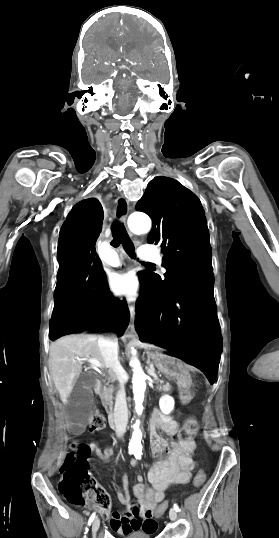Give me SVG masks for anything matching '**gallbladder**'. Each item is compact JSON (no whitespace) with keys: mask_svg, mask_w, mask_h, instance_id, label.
Here are the masks:
<instances>
[{"mask_svg":"<svg viewBox=\"0 0 279 538\" xmlns=\"http://www.w3.org/2000/svg\"><path fill=\"white\" fill-rule=\"evenodd\" d=\"M96 380L89 372H81L76 384L71 392L72 402L74 407L71 406L70 400L67 403L62 404L61 409L64 412H69L67 418L72 433H81L83 427L87 423H91L93 416L89 410L95 408V398L91 392V388H94ZM80 401L81 404H77Z\"/></svg>","mask_w":279,"mask_h":538,"instance_id":"1","label":"gallbladder"}]
</instances>
